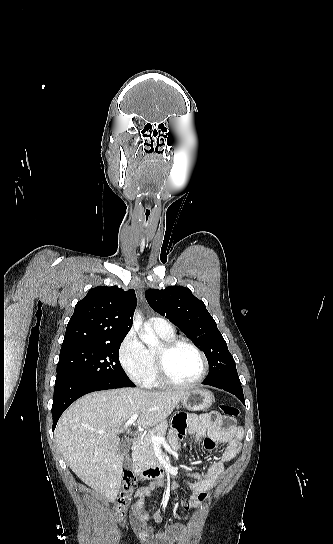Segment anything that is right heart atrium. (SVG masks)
Listing matches in <instances>:
<instances>
[{"instance_id": "obj_1", "label": "right heart atrium", "mask_w": 333, "mask_h": 544, "mask_svg": "<svg viewBox=\"0 0 333 544\" xmlns=\"http://www.w3.org/2000/svg\"><path fill=\"white\" fill-rule=\"evenodd\" d=\"M118 359L130 380L144 383L149 370L148 351L134 330H130L122 340Z\"/></svg>"}]
</instances>
